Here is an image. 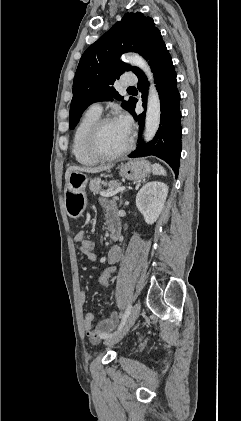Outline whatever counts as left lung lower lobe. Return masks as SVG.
<instances>
[{
    "label": "left lung lower lobe",
    "mask_w": 241,
    "mask_h": 421,
    "mask_svg": "<svg viewBox=\"0 0 241 421\" xmlns=\"http://www.w3.org/2000/svg\"><path fill=\"white\" fill-rule=\"evenodd\" d=\"M145 59L149 61V65L154 72L155 83L159 92L161 103L160 126L151 142L145 144L143 140L139 139L137 149L129 157L157 156L166 161L177 176L182 148L180 93L177 89V79L172 59L160 32L154 37ZM135 74L139 79L138 89L142 93L143 107L146 108L149 84L146 76L140 69ZM136 102L137 99H135L131 114L138 121L142 130L145 113L136 115L134 111Z\"/></svg>",
    "instance_id": "obj_1"
}]
</instances>
